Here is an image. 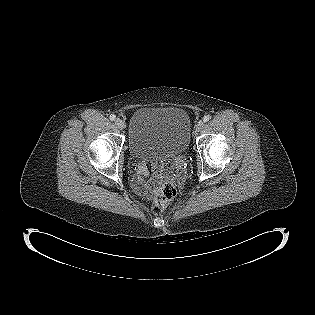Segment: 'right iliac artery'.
I'll list each match as a JSON object with an SVG mask.
<instances>
[{
  "instance_id": "obj_1",
  "label": "right iliac artery",
  "mask_w": 315,
  "mask_h": 315,
  "mask_svg": "<svg viewBox=\"0 0 315 315\" xmlns=\"http://www.w3.org/2000/svg\"><path fill=\"white\" fill-rule=\"evenodd\" d=\"M109 118H110L111 121H114L116 119V116L114 114H112V115H110Z\"/></svg>"
}]
</instances>
